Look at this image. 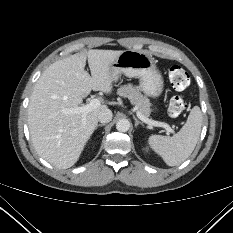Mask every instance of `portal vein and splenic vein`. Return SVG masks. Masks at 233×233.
Here are the masks:
<instances>
[{"instance_id": "obj_1", "label": "portal vein and splenic vein", "mask_w": 233, "mask_h": 233, "mask_svg": "<svg viewBox=\"0 0 233 233\" xmlns=\"http://www.w3.org/2000/svg\"><path fill=\"white\" fill-rule=\"evenodd\" d=\"M99 106H101V102L99 99L95 98V99H91L90 102L86 105H83L81 107H75L72 109H68L66 111V113H68V114H82L85 117L90 111H92L95 108H98ZM136 115L141 121H143L144 123H146L148 125L162 127L168 133H173V134L175 133V131L168 124L151 120V119L145 117L144 115H142L138 110L136 111Z\"/></svg>"}]
</instances>
